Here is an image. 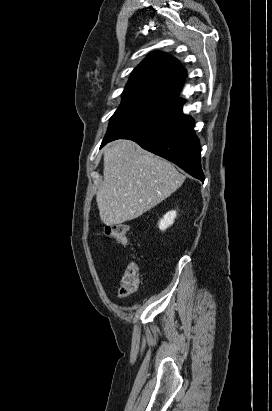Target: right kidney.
I'll use <instances>...</instances> for the list:
<instances>
[{
  "instance_id": "ca27d5eb",
  "label": "right kidney",
  "mask_w": 272,
  "mask_h": 411,
  "mask_svg": "<svg viewBox=\"0 0 272 411\" xmlns=\"http://www.w3.org/2000/svg\"><path fill=\"white\" fill-rule=\"evenodd\" d=\"M176 214V211L172 210L164 215V217L159 221V228L161 231L166 230L169 226H171L174 223Z\"/></svg>"
}]
</instances>
